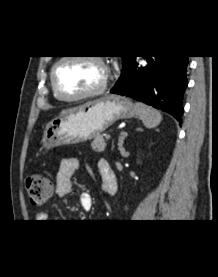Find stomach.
I'll list each match as a JSON object with an SVG mask.
<instances>
[{
    "label": "stomach",
    "mask_w": 218,
    "mask_h": 277,
    "mask_svg": "<svg viewBox=\"0 0 218 277\" xmlns=\"http://www.w3.org/2000/svg\"><path fill=\"white\" fill-rule=\"evenodd\" d=\"M136 114V108L130 99L107 94L52 120L45 127L41 143L49 150L91 140L100 136L116 121L132 118Z\"/></svg>",
    "instance_id": "obj_1"
}]
</instances>
